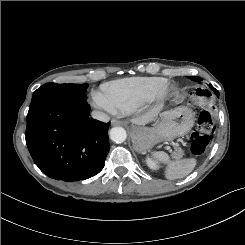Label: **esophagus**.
I'll use <instances>...</instances> for the list:
<instances>
[{"instance_id":"esophagus-1","label":"esophagus","mask_w":245,"mask_h":245,"mask_svg":"<svg viewBox=\"0 0 245 245\" xmlns=\"http://www.w3.org/2000/svg\"><path fill=\"white\" fill-rule=\"evenodd\" d=\"M123 123L121 122V121H119V120H112L111 121V125L112 126H118V125H122Z\"/></svg>"}]
</instances>
